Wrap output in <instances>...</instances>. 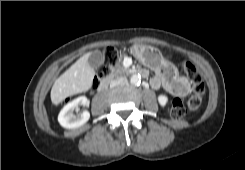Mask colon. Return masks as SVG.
Returning a JSON list of instances; mask_svg holds the SVG:
<instances>
[{"label":"colon","mask_w":245,"mask_h":170,"mask_svg":"<svg viewBox=\"0 0 245 170\" xmlns=\"http://www.w3.org/2000/svg\"><path fill=\"white\" fill-rule=\"evenodd\" d=\"M117 60V52L114 48L108 47L104 52V59L97 70L96 82L106 77ZM183 69L192 82V95L188 100L189 110L199 108L205 92V84L195 66L190 62L183 63ZM185 114V105L182 100L176 99L173 102L171 115L174 119H181Z\"/></svg>","instance_id":"1"}]
</instances>
